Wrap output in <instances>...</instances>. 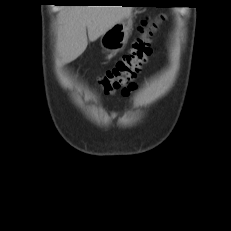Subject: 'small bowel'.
Here are the masks:
<instances>
[{
  "label": "small bowel",
  "mask_w": 231,
  "mask_h": 231,
  "mask_svg": "<svg viewBox=\"0 0 231 231\" xmlns=\"http://www.w3.org/2000/svg\"><path fill=\"white\" fill-rule=\"evenodd\" d=\"M137 88L136 83H129L125 87L122 88L121 94L122 96L126 97L128 96L133 90Z\"/></svg>",
  "instance_id": "small-bowel-1"
}]
</instances>
